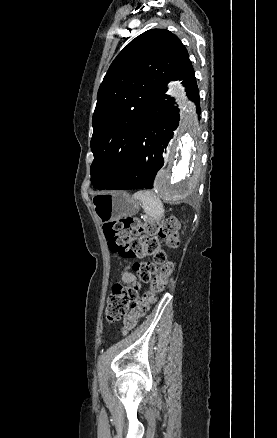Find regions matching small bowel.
<instances>
[{"mask_svg":"<svg viewBox=\"0 0 277 438\" xmlns=\"http://www.w3.org/2000/svg\"><path fill=\"white\" fill-rule=\"evenodd\" d=\"M122 281L128 284H133L136 282L135 276L126 267L122 273Z\"/></svg>","mask_w":277,"mask_h":438,"instance_id":"1","label":"small bowel"}]
</instances>
